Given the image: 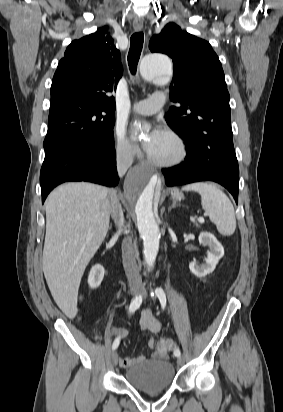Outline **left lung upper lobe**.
Masks as SVG:
<instances>
[{"label": "left lung upper lobe", "mask_w": 283, "mask_h": 412, "mask_svg": "<svg viewBox=\"0 0 283 412\" xmlns=\"http://www.w3.org/2000/svg\"><path fill=\"white\" fill-rule=\"evenodd\" d=\"M149 48L173 60L170 95L178 105L167 113V124L182 139L194 136L228 173L239 175L229 93L221 63L211 45L169 23L151 38Z\"/></svg>", "instance_id": "obj_1"}]
</instances>
